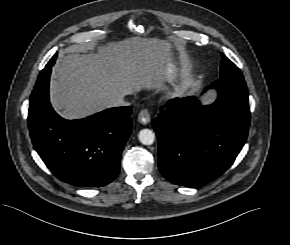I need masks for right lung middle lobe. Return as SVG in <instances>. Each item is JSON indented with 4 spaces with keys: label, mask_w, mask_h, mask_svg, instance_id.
Returning a JSON list of instances; mask_svg holds the SVG:
<instances>
[{
    "label": "right lung middle lobe",
    "mask_w": 290,
    "mask_h": 245,
    "mask_svg": "<svg viewBox=\"0 0 290 245\" xmlns=\"http://www.w3.org/2000/svg\"><path fill=\"white\" fill-rule=\"evenodd\" d=\"M56 56H57V54L54 55L52 59L55 60V57H56ZM50 61H51V60H50ZM50 61H49V62H50ZM51 65H53V63H51Z\"/></svg>",
    "instance_id": "dd1d6c3e"
}]
</instances>
